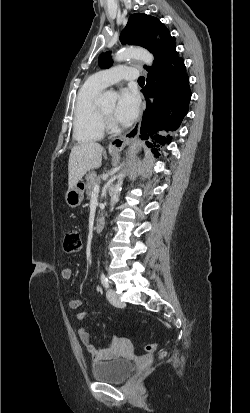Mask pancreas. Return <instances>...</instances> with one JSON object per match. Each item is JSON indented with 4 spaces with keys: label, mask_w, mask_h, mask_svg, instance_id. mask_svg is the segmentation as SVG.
I'll use <instances>...</instances> for the list:
<instances>
[{
    "label": "pancreas",
    "mask_w": 250,
    "mask_h": 413,
    "mask_svg": "<svg viewBox=\"0 0 250 413\" xmlns=\"http://www.w3.org/2000/svg\"><path fill=\"white\" fill-rule=\"evenodd\" d=\"M85 179H86V184H85L86 194L89 198L93 194L94 186L100 183V179L98 178L97 173L95 171H89L86 174Z\"/></svg>",
    "instance_id": "obj_1"
}]
</instances>
